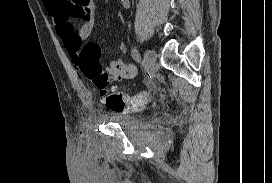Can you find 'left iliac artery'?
Masks as SVG:
<instances>
[{
  "label": "left iliac artery",
  "instance_id": "left-iliac-artery-1",
  "mask_svg": "<svg viewBox=\"0 0 272 183\" xmlns=\"http://www.w3.org/2000/svg\"><path fill=\"white\" fill-rule=\"evenodd\" d=\"M131 55L135 61H137V62L141 61V55L136 47L132 48Z\"/></svg>",
  "mask_w": 272,
  "mask_h": 183
}]
</instances>
